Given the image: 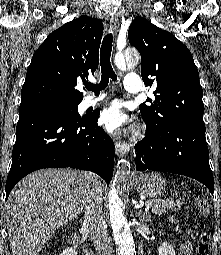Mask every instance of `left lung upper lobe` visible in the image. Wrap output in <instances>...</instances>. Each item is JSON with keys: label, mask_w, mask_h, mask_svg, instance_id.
Returning <instances> with one entry per match:
<instances>
[{"label": "left lung upper lobe", "mask_w": 221, "mask_h": 255, "mask_svg": "<svg viewBox=\"0 0 221 255\" xmlns=\"http://www.w3.org/2000/svg\"><path fill=\"white\" fill-rule=\"evenodd\" d=\"M128 39L140 52L146 86H157L155 100H149L151 105H140L146 125L160 128L172 120H182L205 127L203 90L189 49L142 17L132 21Z\"/></svg>", "instance_id": "5c2ea615"}]
</instances>
